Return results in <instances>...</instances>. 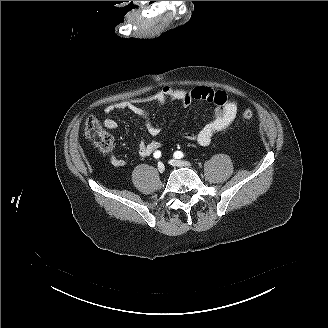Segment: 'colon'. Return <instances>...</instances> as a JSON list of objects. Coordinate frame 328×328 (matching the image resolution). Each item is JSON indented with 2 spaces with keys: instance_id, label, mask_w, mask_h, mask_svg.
<instances>
[{
  "instance_id": "obj_1",
  "label": "colon",
  "mask_w": 328,
  "mask_h": 328,
  "mask_svg": "<svg viewBox=\"0 0 328 328\" xmlns=\"http://www.w3.org/2000/svg\"><path fill=\"white\" fill-rule=\"evenodd\" d=\"M253 111L249 108L244 109L242 112V117L244 119H251L253 117ZM85 135L93 141L95 146L103 152L111 149L113 145L112 137L105 132L99 121L95 117H89L85 122Z\"/></svg>"
}]
</instances>
